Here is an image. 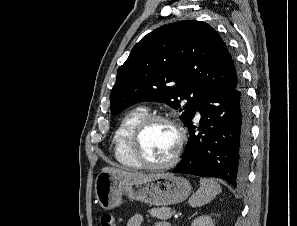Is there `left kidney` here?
I'll use <instances>...</instances> for the list:
<instances>
[{
    "label": "left kidney",
    "instance_id": "left-kidney-1",
    "mask_svg": "<svg viewBox=\"0 0 297 226\" xmlns=\"http://www.w3.org/2000/svg\"><path fill=\"white\" fill-rule=\"evenodd\" d=\"M191 226H214V223L210 216L202 215L194 219Z\"/></svg>",
    "mask_w": 297,
    "mask_h": 226
}]
</instances>
